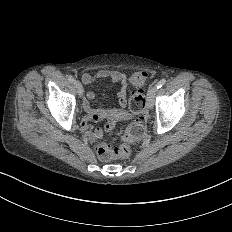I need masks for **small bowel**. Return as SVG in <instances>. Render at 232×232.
I'll return each instance as SVG.
<instances>
[{"label":"small bowel","mask_w":232,"mask_h":232,"mask_svg":"<svg viewBox=\"0 0 232 232\" xmlns=\"http://www.w3.org/2000/svg\"><path fill=\"white\" fill-rule=\"evenodd\" d=\"M110 79L119 86V104L117 110H102L94 108L91 101L94 99V92L84 89L86 85L92 84L95 80ZM81 86L78 94L81 117L76 126V136L84 143L99 141L104 133L114 129L117 121L126 120L130 117V110L127 107L128 79L120 70L101 69L94 76L81 73L78 78ZM101 121L102 125L94 127V123Z\"/></svg>","instance_id":"c3829d8e"}]
</instances>
